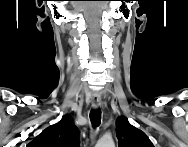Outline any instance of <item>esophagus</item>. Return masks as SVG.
Returning a JSON list of instances; mask_svg holds the SVG:
<instances>
[{
    "label": "esophagus",
    "mask_w": 188,
    "mask_h": 147,
    "mask_svg": "<svg viewBox=\"0 0 188 147\" xmlns=\"http://www.w3.org/2000/svg\"><path fill=\"white\" fill-rule=\"evenodd\" d=\"M92 105L94 108H98L101 105V97L99 95L93 97Z\"/></svg>",
    "instance_id": "obj_1"
}]
</instances>
